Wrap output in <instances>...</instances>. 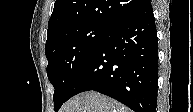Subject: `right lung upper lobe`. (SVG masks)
<instances>
[{"instance_id": "cb5924a9", "label": "right lung upper lobe", "mask_w": 193, "mask_h": 112, "mask_svg": "<svg viewBox=\"0 0 193 112\" xmlns=\"http://www.w3.org/2000/svg\"><path fill=\"white\" fill-rule=\"evenodd\" d=\"M148 0H56L48 22L47 40L60 30L80 23L111 27L140 9Z\"/></svg>"}]
</instances>
